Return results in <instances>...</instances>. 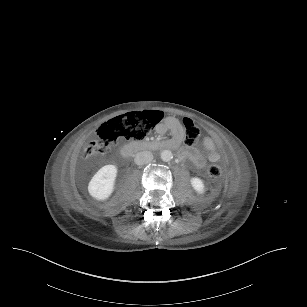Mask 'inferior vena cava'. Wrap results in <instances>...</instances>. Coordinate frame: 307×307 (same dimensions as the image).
I'll list each match as a JSON object with an SVG mask.
<instances>
[{"mask_svg":"<svg viewBox=\"0 0 307 307\" xmlns=\"http://www.w3.org/2000/svg\"><path fill=\"white\" fill-rule=\"evenodd\" d=\"M153 160V154L150 151H141L135 155L134 162L137 165L148 164Z\"/></svg>","mask_w":307,"mask_h":307,"instance_id":"inferior-vena-cava-1","label":"inferior vena cava"}]
</instances>
